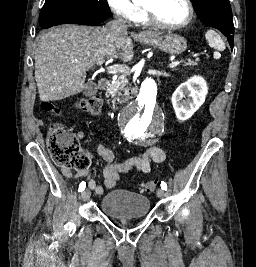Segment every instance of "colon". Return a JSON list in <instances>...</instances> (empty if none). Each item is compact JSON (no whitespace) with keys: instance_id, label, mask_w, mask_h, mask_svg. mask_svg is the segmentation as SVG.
Here are the masks:
<instances>
[{"instance_id":"1","label":"colon","mask_w":256,"mask_h":267,"mask_svg":"<svg viewBox=\"0 0 256 267\" xmlns=\"http://www.w3.org/2000/svg\"><path fill=\"white\" fill-rule=\"evenodd\" d=\"M101 101L95 97H86L76 103V107L86 114H97L101 109ZM45 112H52L56 109L50 101L41 104ZM48 147L53 160L63 166L77 169H84L89 164V155L83 150L74 137L63 127L54 126L51 128L48 137ZM156 181L143 182L140 184L142 191L154 192L157 190Z\"/></svg>"}]
</instances>
